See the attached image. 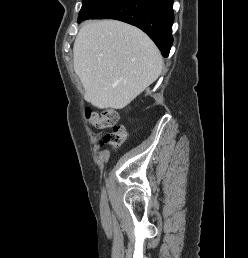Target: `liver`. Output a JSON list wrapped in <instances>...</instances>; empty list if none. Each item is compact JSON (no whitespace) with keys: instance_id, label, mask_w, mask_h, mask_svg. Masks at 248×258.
Returning <instances> with one entry per match:
<instances>
[{"instance_id":"1","label":"liver","mask_w":248,"mask_h":258,"mask_svg":"<svg viewBox=\"0 0 248 258\" xmlns=\"http://www.w3.org/2000/svg\"><path fill=\"white\" fill-rule=\"evenodd\" d=\"M73 54L85 98L99 109L124 108L156 81L163 65L145 33L116 20L85 22Z\"/></svg>"}]
</instances>
